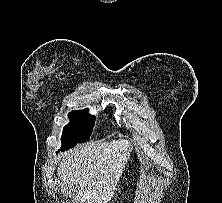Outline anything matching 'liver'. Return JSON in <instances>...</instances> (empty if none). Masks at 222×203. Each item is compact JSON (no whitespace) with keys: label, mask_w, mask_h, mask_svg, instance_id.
Wrapping results in <instances>:
<instances>
[{"label":"liver","mask_w":222,"mask_h":203,"mask_svg":"<svg viewBox=\"0 0 222 203\" xmlns=\"http://www.w3.org/2000/svg\"><path fill=\"white\" fill-rule=\"evenodd\" d=\"M131 142L126 139L91 142L59 156L58 184L74 193L75 203H108L123 174Z\"/></svg>","instance_id":"1"}]
</instances>
